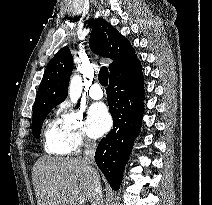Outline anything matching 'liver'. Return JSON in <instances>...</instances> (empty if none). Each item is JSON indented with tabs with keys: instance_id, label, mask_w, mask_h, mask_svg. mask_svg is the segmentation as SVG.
Instances as JSON below:
<instances>
[{
	"instance_id": "obj_1",
	"label": "liver",
	"mask_w": 212,
	"mask_h": 205,
	"mask_svg": "<svg viewBox=\"0 0 212 205\" xmlns=\"http://www.w3.org/2000/svg\"><path fill=\"white\" fill-rule=\"evenodd\" d=\"M32 177L38 205H77L94 197V170L80 158L43 156Z\"/></svg>"
}]
</instances>
